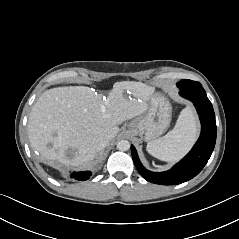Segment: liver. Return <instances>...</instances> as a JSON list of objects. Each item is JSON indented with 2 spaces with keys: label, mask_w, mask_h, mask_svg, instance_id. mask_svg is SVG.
I'll use <instances>...</instances> for the list:
<instances>
[{
  "label": "liver",
  "mask_w": 239,
  "mask_h": 239,
  "mask_svg": "<svg viewBox=\"0 0 239 239\" xmlns=\"http://www.w3.org/2000/svg\"><path fill=\"white\" fill-rule=\"evenodd\" d=\"M154 93V87L135 81L114 83L107 97L86 86L46 90L29 114L30 144L46 161L86 165L100 151L101 139L113 140L120 130L117 125L147 111Z\"/></svg>",
  "instance_id": "obj_1"
}]
</instances>
